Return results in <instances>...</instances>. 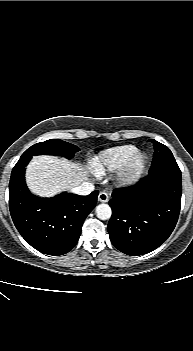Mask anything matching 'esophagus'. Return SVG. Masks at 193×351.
<instances>
[{
    "mask_svg": "<svg viewBox=\"0 0 193 351\" xmlns=\"http://www.w3.org/2000/svg\"><path fill=\"white\" fill-rule=\"evenodd\" d=\"M98 200L100 202H108L109 200V195L105 191H101L98 195Z\"/></svg>",
    "mask_w": 193,
    "mask_h": 351,
    "instance_id": "obj_1",
    "label": "esophagus"
}]
</instances>
